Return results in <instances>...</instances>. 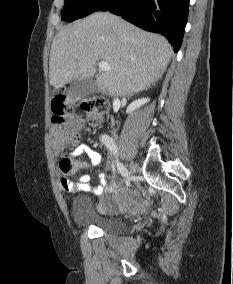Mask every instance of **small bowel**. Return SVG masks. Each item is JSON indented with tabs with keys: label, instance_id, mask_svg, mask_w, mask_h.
<instances>
[{
	"label": "small bowel",
	"instance_id": "c3829d8e",
	"mask_svg": "<svg viewBox=\"0 0 233 284\" xmlns=\"http://www.w3.org/2000/svg\"><path fill=\"white\" fill-rule=\"evenodd\" d=\"M59 140L63 141L65 139V134L63 132H59L57 134ZM82 153H85L89 158V163L80 161V162H73L75 167L78 168H88L90 165L97 166L101 161L100 154L93 149L92 147L82 144L76 148L73 153V157L78 156ZM99 185L92 186L90 184L91 176L90 175H83L80 177L79 182L73 183L70 182L67 178L61 177L60 184L62 188L67 192H78V191H91L95 194H103V198L101 201V210L103 212H111L117 208L123 206L124 202L119 201L118 199L114 198L111 194H113L116 189L117 185L113 177H107L101 172L97 173Z\"/></svg>",
	"mask_w": 233,
	"mask_h": 284
}]
</instances>
